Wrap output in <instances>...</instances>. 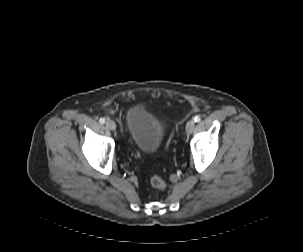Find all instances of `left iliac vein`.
<instances>
[{
  "instance_id": "obj_1",
  "label": "left iliac vein",
  "mask_w": 303,
  "mask_h": 252,
  "mask_svg": "<svg viewBox=\"0 0 303 252\" xmlns=\"http://www.w3.org/2000/svg\"><path fill=\"white\" fill-rule=\"evenodd\" d=\"M195 127V121L194 120H189L186 124V133L189 135L192 133Z\"/></svg>"
}]
</instances>
